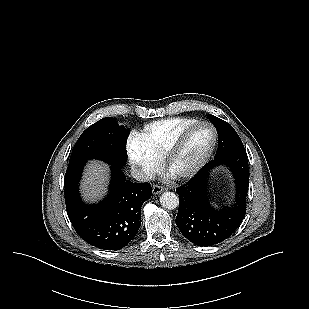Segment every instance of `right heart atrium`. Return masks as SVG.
<instances>
[{"label": "right heart atrium", "instance_id": "1", "mask_svg": "<svg viewBox=\"0 0 309 309\" xmlns=\"http://www.w3.org/2000/svg\"><path fill=\"white\" fill-rule=\"evenodd\" d=\"M130 164L142 180H150L160 168V159L154 156L138 140L131 137L127 143Z\"/></svg>", "mask_w": 309, "mask_h": 309}]
</instances>
